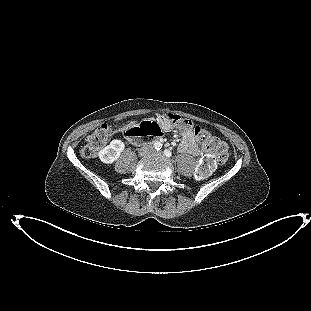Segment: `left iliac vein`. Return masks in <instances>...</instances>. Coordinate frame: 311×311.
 I'll return each mask as SVG.
<instances>
[{
	"mask_svg": "<svg viewBox=\"0 0 311 311\" xmlns=\"http://www.w3.org/2000/svg\"><path fill=\"white\" fill-rule=\"evenodd\" d=\"M156 154H159V155H161V154H162V152H161V151H157V152H156Z\"/></svg>",
	"mask_w": 311,
	"mask_h": 311,
	"instance_id": "4c4485c4",
	"label": "left iliac vein"
}]
</instances>
